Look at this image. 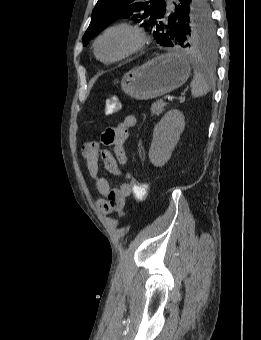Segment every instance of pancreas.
Instances as JSON below:
<instances>
[{
  "instance_id": "obj_1",
  "label": "pancreas",
  "mask_w": 261,
  "mask_h": 340,
  "mask_svg": "<svg viewBox=\"0 0 261 340\" xmlns=\"http://www.w3.org/2000/svg\"><path fill=\"white\" fill-rule=\"evenodd\" d=\"M166 105L167 103H165L163 100H158L155 103H153L151 106L152 116L154 115L159 116L164 111Z\"/></svg>"
}]
</instances>
